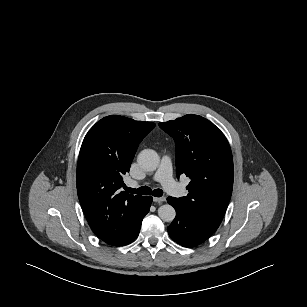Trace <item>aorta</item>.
I'll return each mask as SVG.
<instances>
[{
    "mask_svg": "<svg viewBox=\"0 0 307 307\" xmlns=\"http://www.w3.org/2000/svg\"><path fill=\"white\" fill-rule=\"evenodd\" d=\"M137 161L144 170L154 171L160 163V157L156 151L144 149L139 153ZM158 215L163 221L172 222L176 216V211L171 205L165 204L159 207Z\"/></svg>",
    "mask_w": 307,
    "mask_h": 307,
    "instance_id": "1",
    "label": "aorta"
}]
</instances>
